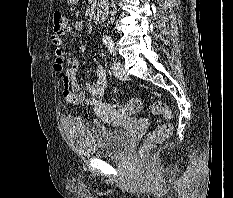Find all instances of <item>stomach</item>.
<instances>
[{
  "label": "stomach",
  "instance_id": "obj_1",
  "mask_svg": "<svg viewBox=\"0 0 233 198\" xmlns=\"http://www.w3.org/2000/svg\"><path fill=\"white\" fill-rule=\"evenodd\" d=\"M79 0H67V3L70 5L76 4Z\"/></svg>",
  "mask_w": 233,
  "mask_h": 198
}]
</instances>
